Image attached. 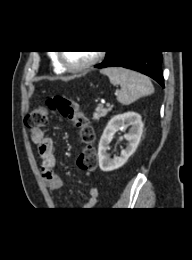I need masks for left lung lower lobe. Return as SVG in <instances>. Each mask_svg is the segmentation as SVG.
<instances>
[{
	"label": "left lung lower lobe",
	"instance_id": "obj_1",
	"mask_svg": "<svg viewBox=\"0 0 192 260\" xmlns=\"http://www.w3.org/2000/svg\"><path fill=\"white\" fill-rule=\"evenodd\" d=\"M162 51L160 50H125L109 51L104 61L95 65L96 68L121 66L141 72L164 87L162 75Z\"/></svg>",
	"mask_w": 192,
	"mask_h": 260
}]
</instances>
